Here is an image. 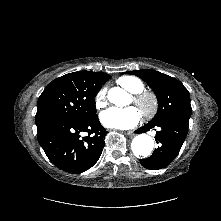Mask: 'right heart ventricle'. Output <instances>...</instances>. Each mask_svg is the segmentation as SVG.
<instances>
[{"mask_svg": "<svg viewBox=\"0 0 221 221\" xmlns=\"http://www.w3.org/2000/svg\"><path fill=\"white\" fill-rule=\"evenodd\" d=\"M117 83L133 94L142 91L145 87L143 81L135 76H122Z\"/></svg>", "mask_w": 221, "mask_h": 221, "instance_id": "1", "label": "right heart ventricle"}]
</instances>
